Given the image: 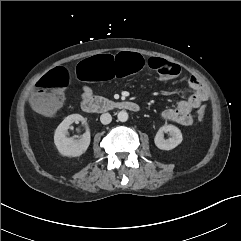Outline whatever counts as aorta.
Segmentation results:
<instances>
[{"label":"aorta","mask_w":241,"mask_h":241,"mask_svg":"<svg viewBox=\"0 0 241 241\" xmlns=\"http://www.w3.org/2000/svg\"><path fill=\"white\" fill-rule=\"evenodd\" d=\"M117 118L121 122H126L128 120V113L122 110L118 113Z\"/></svg>","instance_id":"1"}]
</instances>
